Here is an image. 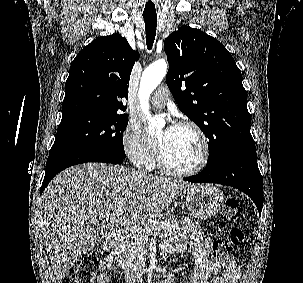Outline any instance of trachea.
<instances>
[{
  "label": "trachea",
  "instance_id": "1",
  "mask_svg": "<svg viewBox=\"0 0 303 283\" xmlns=\"http://www.w3.org/2000/svg\"><path fill=\"white\" fill-rule=\"evenodd\" d=\"M143 18L145 21V29H146V44L148 49L150 50L153 46L156 36L157 17L143 15Z\"/></svg>",
  "mask_w": 303,
  "mask_h": 283
}]
</instances>
